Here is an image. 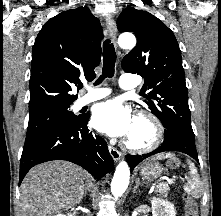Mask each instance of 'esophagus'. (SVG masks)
I'll return each mask as SVG.
<instances>
[{
    "label": "esophagus",
    "instance_id": "obj_1",
    "mask_svg": "<svg viewBox=\"0 0 221 216\" xmlns=\"http://www.w3.org/2000/svg\"><path fill=\"white\" fill-rule=\"evenodd\" d=\"M106 33L108 34L109 38L111 41L114 43L115 47H117L116 43V34H117V28H116V23L114 19L110 16L106 18ZM108 150L110 155L115 161L120 160L122 154L119 152L116 148H114L111 145H108Z\"/></svg>",
    "mask_w": 221,
    "mask_h": 216
}]
</instances>
